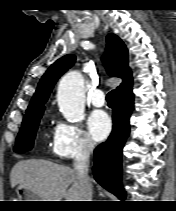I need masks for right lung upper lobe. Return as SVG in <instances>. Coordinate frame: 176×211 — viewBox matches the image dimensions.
<instances>
[{
    "instance_id": "cb5924a9",
    "label": "right lung upper lobe",
    "mask_w": 176,
    "mask_h": 211,
    "mask_svg": "<svg viewBox=\"0 0 176 211\" xmlns=\"http://www.w3.org/2000/svg\"><path fill=\"white\" fill-rule=\"evenodd\" d=\"M107 55L105 66L110 76L119 77L123 82L116 89L115 95L125 94L132 90V74L128 66V51L122 40L115 34L107 36ZM75 56L65 55L58 59L41 78L37 90L28 106L26 116L44 111V103L58 80L75 62Z\"/></svg>"
}]
</instances>
